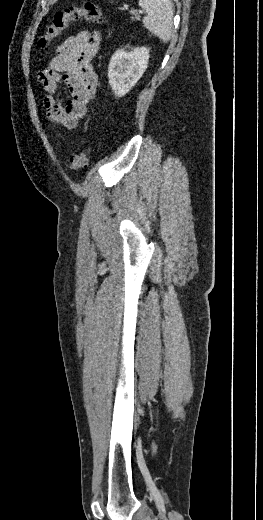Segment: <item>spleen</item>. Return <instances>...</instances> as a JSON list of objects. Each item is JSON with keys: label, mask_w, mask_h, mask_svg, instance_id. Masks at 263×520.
<instances>
[{"label": "spleen", "mask_w": 263, "mask_h": 520, "mask_svg": "<svg viewBox=\"0 0 263 520\" xmlns=\"http://www.w3.org/2000/svg\"><path fill=\"white\" fill-rule=\"evenodd\" d=\"M145 10L143 24L152 34L164 43L168 42L173 30V4L171 0H139Z\"/></svg>", "instance_id": "1"}]
</instances>
